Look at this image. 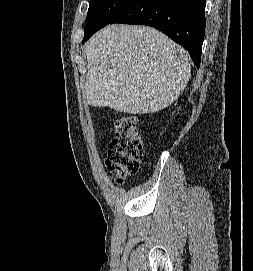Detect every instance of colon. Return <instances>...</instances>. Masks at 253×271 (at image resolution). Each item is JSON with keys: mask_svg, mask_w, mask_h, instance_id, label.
Instances as JSON below:
<instances>
[{"mask_svg": "<svg viewBox=\"0 0 253 271\" xmlns=\"http://www.w3.org/2000/svg\"><path fill=\"white\" fill-rule=\"evenodd\" d=\"M143 155V141L136 118L122 116L114 120V136L110 140L105 165L119 183L136 173Z\"/></svg>", "mask_w": 253, "mask_h": 271, "instance_id": "obj_1", "label": "colon"}]
</instances>
